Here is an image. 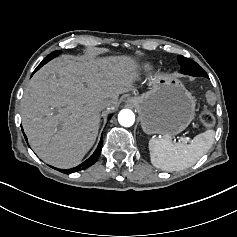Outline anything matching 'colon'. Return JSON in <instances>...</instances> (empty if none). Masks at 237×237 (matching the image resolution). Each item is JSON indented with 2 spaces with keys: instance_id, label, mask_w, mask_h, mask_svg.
<instances>
[{
  "instance_id": "obj_1",
  "label": "colon",
  "mask_w": 237,
  "mask_h": 237,
  "mask_svg": "<svg viewBox=\"0 0 237 237\" xmlns=\"http://www.w3.org/2000/svg\"><path fill=\"white\" fill-rule=\"evenodd\" d=\"M206 97L210 104H214L216 102V95L213 92H208ZM200 121L201 124L207 129L212 128L215 124L214 115L209 110H204L201 112Z\"/></svg>"
}]
</instances>
